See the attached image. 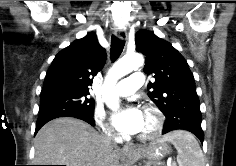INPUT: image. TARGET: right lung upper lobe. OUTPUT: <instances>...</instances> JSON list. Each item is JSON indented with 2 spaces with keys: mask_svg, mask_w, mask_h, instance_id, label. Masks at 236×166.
<instances>
[{
  "mask_svg": "<svg viewBox=\"0 0 236 166\" xmlns=\"http://www.w3.org/2000/svg\"><path fill=\"white\" fill-rule=\"evenodd\" d=\"M106 51L100 46L96 34L88 33L61 50L51 63L43 83V91L63 87L89 92L90 76L104 66Z\"/></svg>",
  "mask_w": 236,
  "mask_h": 166,
  "instance_id": "right-lung-upper-lobe-1",
  "label": "right lung upper lobe"
}]
</instances>
